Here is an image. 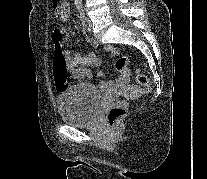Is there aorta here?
Returning <instances> with one entry per match:
<instances>
[{
	"label": "aorta",
	"mask_w": 207,
	"mask_h": 179,
	"mask_svg": "<svg viewBox=\"0 0 207 179\" xmlns=\"http://www.w3.org/2000/svg\"><path fill=\"white\" fill-rule=\"evenodd\" d=\"M74 3H75L76 5H80V4L82 3V0H74Z\"/></svg>",
	"instance_id": "aorta-1"
}]
</instances>
